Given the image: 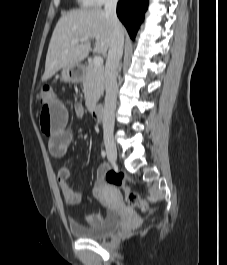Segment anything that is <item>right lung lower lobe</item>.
<instances>
[{
	"label": "right lung lower lobe",
	"instance_id": "1",
	"mask_svg": "<svg viewBox=\"0 0 227 265\" xmlns=\"http://www.w3.org/2000/svg\"><path fill=\"white\" fill-rule=\"evenodd\" d=\"M148 0H119L117 15L125 25L130 37L135 38L138 28L144 19Z\"/></svg>",
	"mask_w": 227,
	"mask_h": 265
}]
</instances>
